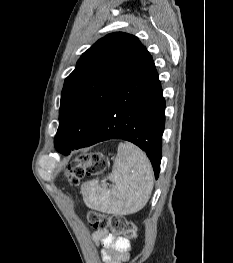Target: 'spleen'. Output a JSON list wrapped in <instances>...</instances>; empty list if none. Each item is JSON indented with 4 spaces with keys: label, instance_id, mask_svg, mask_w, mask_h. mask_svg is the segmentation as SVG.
<instances>
[{
    "label": "spleen",
    "instance_id": "1",
    "mask_svg": "<svg viewBox=\"0 0 233 263\" xmlns=\"http://www.w3.org/2000/svg\"><path fill=\"white\" fill-rule=\"evenodd\" d=\"M115 184L107 188L106 180H92L81 186L87 207L116 215L133 214L148 202L153 189V170L147 156L131 143H119L112 172Z\"/></svg>",
    "mask_w": 233,
    "mask_h": 263
}]
</instances>
